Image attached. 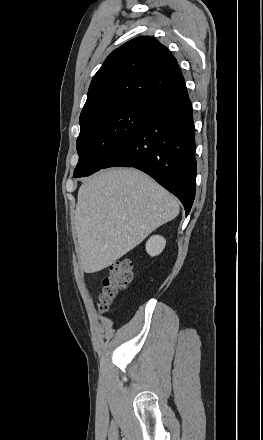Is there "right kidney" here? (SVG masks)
I'll use <instances>...</instances> for the list:
<instances>
[{
  "label": "right kidney",
  "instance_id": "1",
  "mask_svg": "<svg viewBox=\"0 0 263 440\" xmlns=\"http://www.w3.org/2000/svg\"><path fill=\"white\" fill-rule=\"evenodd\" d=\"M166 240L159 235L152 236L146 243V251L150 256L159 255L165 248Z\"/></svg>",
  "mask_w": 263,
  "mask_h": 440
}]
</instances>
